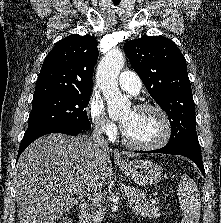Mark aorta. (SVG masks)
I'll return each mask as SVG.
<instances>
[{"mask_svg":"<svg viewBox=\"0 0 221 223\" xmlns=\"http://www.w3.org/2000/svg\"><path fill=\"white\" fill-rule=\"evenodd\" d=\"M123 66L124 55L120 50L112 49L102 58L96 71V84L102 90L111 117L120 115L131 105L118 87V76Z\"/></svg>","mask_w":221,"mask_h":223,"instance_id":"1","label":"aorta"}]
</instances>
